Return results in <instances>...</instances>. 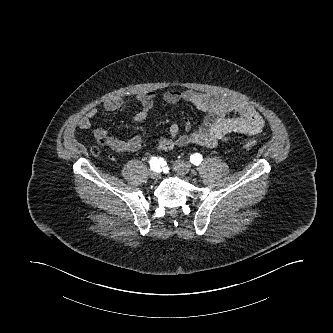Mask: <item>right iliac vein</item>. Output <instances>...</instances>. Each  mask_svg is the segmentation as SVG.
<instances>
[{"label":"right iliac vein","instance_id":"1","mask_svg":"<svg viewBox=\"0 0 333 333\" xmlns=\"http://www.w3.org/2000/svg\"><path fill=\"white\" fill-rule=\"evenodd\" d=\"M150 178L153 180H158L160 178V171H150Z\"/></svg>","mask_w":333,"mask_h":333}]
</instances>
